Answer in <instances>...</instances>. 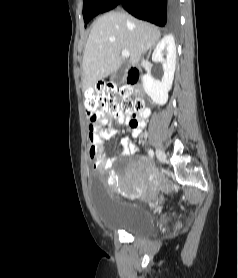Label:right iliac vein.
<instances>
[{
  "instance_id": "63e3f726",
  "label": "right iliac vein",
  "mask_w": 238,
  "mask_h": 278,
  "mask_svg": "<svg viewBox=\"0 0 238 278\" xmlns=\"http://www.w3.org/2000/svg\"><path fill=\"white\" fill-rule=\"evenodd\" d=\"M156 156L160 161H163L165 159V153L162 149L157 148L156 149Z\"/></svg>"
}]
</instances>
